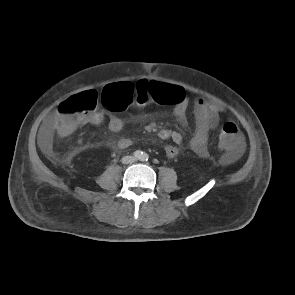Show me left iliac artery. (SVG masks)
I'll use <instances>...</instances> for the list:
<instances>
[{
	"label": "left iliac artery",
	"mask_w": 295,
	"mask_h": 295,
	"mask_svg": "<svg viewBox=\"0 0 295 295\" xmlns=\"http://www.w3.org/2000/svg\"><path fill=\"white\" fill-rule=\"evenodd\" d=\"M148 158H149L148 154H146V153L142 154V160L143 161H147Z\"/></svg>",
	"instance_id": "left-iliac-artery-1"
}]
</instances>
